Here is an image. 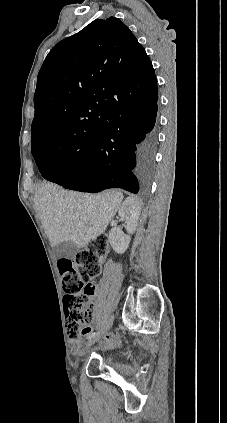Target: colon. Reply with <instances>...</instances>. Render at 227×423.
Here are the masks:
<instances>
[{"mask_svg": "<svg viewBox=\"0 0 227 423\" xmlns=\"http://www.w3.org/2000/svg\"><path fill=\"white\" fill-rule=\"evenodd\" d=\"M108 251L105 235L96 237L90 247L73 259H60L58 267L63 282L64 311L70 340H74L91 322L93 312L90 297L93 292L90 280L101 273L102 259Z\"/></svg>", "mask_w": 227, "mask_h": 423, "instance_id": "colon-1", "label": "colon"}]
</instances>
